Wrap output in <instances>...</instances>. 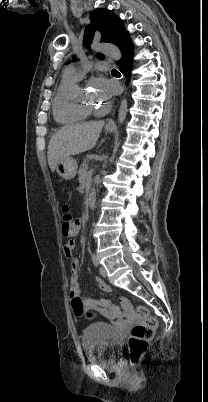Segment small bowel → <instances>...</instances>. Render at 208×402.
Listing matches in <instances>:
<instances>
[{"instance_id":"1","label":"small bowel","mask_w":208,"mask_h":402,"mask_svg":"<svg viewBox=\"0 0 208 402\" xmlns=\"http://www.w3.org/2000/svg\"><path fill=\"white\" fill-rule=\"evenodd\" d=\"M82 227L81 221H76L73 226L74 232H79ZM70 242L63 248L64 258L69 260L72 258V253L77 242L76 236L70 237ZM96 286L104 293H110L111 287L100 277L95 278ZM69 294L71 298L78 297L79 294V267L78 263L75 260H72L70 265V290ZM82 303L85 307L101 312L105 318L109 320H115L116 328L118 330H125L128 327V324L131 323L132 317L135 315V312L131 309V304L126 299L123 300L122 309L114 307L110 304V302L106 299H94L90 297H86L82 300Z\"/></svg>"}]
</instances>
